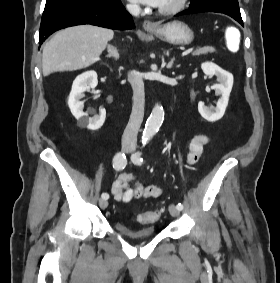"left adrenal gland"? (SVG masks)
Returning <instances> with one entry per match:
<instances>
[{
	"label": "left adrenal gland",
	"instance_id": "obj_1",
	"mask_svg": "<svg viewBox=\"0 0 280 283\" xmlns=\"http://www.w3.org/2000/svg\"><path fill=\"white\" fill-rule=\"evenodd\" d=\"M162 61L164 62V59H162ZM174 61H175V58H172V59L169 61V63L167 64L166 67H167L168 69H170V68L172 67Z\"/></svg>",
	"mask_w": 280,
	"mask_h": 283
}]
</instances>
